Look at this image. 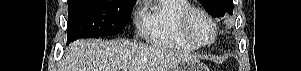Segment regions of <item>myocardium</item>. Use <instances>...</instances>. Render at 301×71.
<instances>
[{"instance_id": "1", "label": "myocardium", "mask_w": 301, "mask_h": 71, "mask_svg": "<svg viewBox=\"0 0 301 71\" xmlns=\"http://www.w3.org/2000/svg\"><path fill=\"white\" fill-rule=\"evenodd\" d=\"M195 15H200L204 17L212 26L213 28V37L209 42L202 43L198 41L195 36L193 35L192 29H191V22ZM179 24L180 29L183 34V36L189 40L193 45H195L197 48H205L213 45L217 39L218 31H217V25L214 21V19L211 17L210 14H208L205 10H203L200 7L196 6H190L186 8L179 16Z\"/></svg>"}]
</instances>
